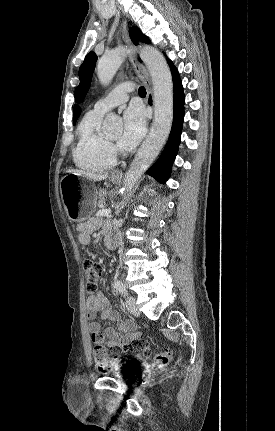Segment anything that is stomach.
<instances>
[{"label":"stomach","instance_id":"1","mask_svg":"<svg viewBox=\"0 0 275 431\" xmlns=\"http://www.w3.org/2000/svg\"><path fill=\"white\" fill-rule=\"evenodd\" d=\"M84 176L76 174L65 175L60 183L62 202L68 218L74 222H82L88 219L93 212L96 202L94 188L84 185ZM120 178L112 177L113 183H118Z\"/></svg>","mask_w":275,"mask_h":431}]
</instances>
